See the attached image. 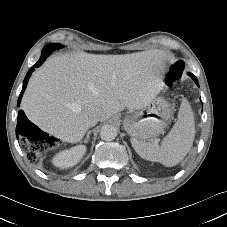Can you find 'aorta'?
<instances>
[{
    "label": "aorta",
    "mask_w": 227,
    "mask_h": 227,
    "mask_svg": "<svg viewBox=\"0 0 227 227\" xmlns=\"http://www.w3.org/2000/svg\"><path fill=\"white\" fill-rule=\"evenodd\" d=\"M117 134V128L113 125H104L100 130V137L104 141L114 140Z\"/></svg>",
    "instance_id": "762f6f07"
}]
</instances>
